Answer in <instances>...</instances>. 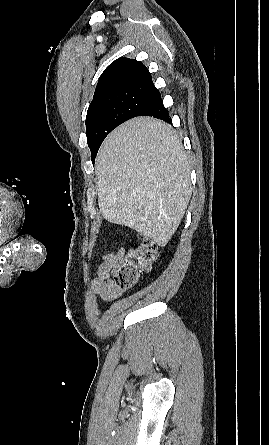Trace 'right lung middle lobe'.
Segmentation results:
<instances>
[{"label":"right lung middle lobe","instance_id":"dd1d6c3e","mask_svg":"<svg viewBox=\"0 0 269 445\" xmlns=\"http://www.w3.org/2000/svg\"><path fill=\"white\" fill-rule=\"evenodd\" d=\"M160 96L154 87L125 88L93 100L87 111L86 134L94 163L105 137L121 123L138 116Z\"/></svg>","mask_w":269,"mask_h":445}]
</instances>
